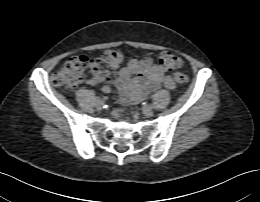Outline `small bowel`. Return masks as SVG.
Returning a JSON list of instances; mask_svg holds the SVG:
<instances>
[{"label":"small bowel","instance_id":"small-bowel-1","mask_svg":"<svg viewBox=\"0 0 260 202\" xmlns=\"http://www.w3.org/2000/svg\"><path fill=\"white\" fill-rule=\"evenodd\" d=\"M105 80L116 86L120 100L125 104L137 103L162 86L168 89L175 88L173 78L165 75L150 57L131 59L123 67L96 71L86 82L95 85ZM102 91L110 93L111 88L104 85Z\"/></svg>","mask_w":260,"mask_h":202}]
</instances>
